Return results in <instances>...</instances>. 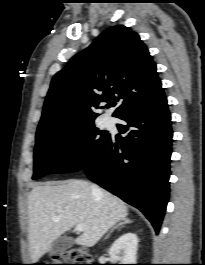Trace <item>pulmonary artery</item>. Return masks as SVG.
<instances>
[{
	"instance_id": "pulmonary-artery-1",
	"label": "pulmonary artery",
	"mask_w": 205,
	"mask_h": 265,
	"mask_svg": "<svg viewBox=\"0 0 205 265\" xmlns=\"http://www.w3.org/2000/svg\"><path fill=\"white\" fill-rule=\"evenodd\" d=\"M106 124H109L111 121H110V119H106Z\"/></svg>"
}]
</instances>
